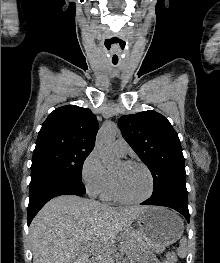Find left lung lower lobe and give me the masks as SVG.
<instances>
[{
    "mask_svg": "<svg viewBox=\"0 0 220 263\" xmlns=\"http://www.w3.org/2000/svg\"><path fill=\"white\" fill-rule=\"evenodd\" d=\"M141 205H158L169 207L181 213L188 222L190 220L188 202L180 201L172 197H151L142 202Z\"/></svg>",
    "mask_w": 220,
    "mask_h": 263,
    "instance_id": "0a47b994",
    "label": "left lung lower lobe"
}]
</instances>
